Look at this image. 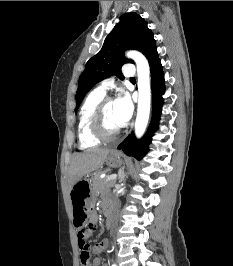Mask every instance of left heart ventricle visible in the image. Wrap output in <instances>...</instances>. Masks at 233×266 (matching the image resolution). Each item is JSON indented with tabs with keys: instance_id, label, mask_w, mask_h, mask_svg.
Returning a JSON list of instances; mask_svg holds the SVG:
<instances>
[{
	"instance_id": "b2bd125f",
	"label": "left heart ventricle",
	"mask_w": 233,
	"mask_h": 266,
	"mask_svg": "<svg viewBox=\"0 0 233 266\" xmlns=\"http://www.w3.org/2000/svg\"><path fill=\"white\" fill-rule=\"evenodd\" d=\"M104 125L108 132H113L119 129L116 120V111H115V103L110 102L107 104L105 111H104Z\"/></svg>"
}]
</instances>
